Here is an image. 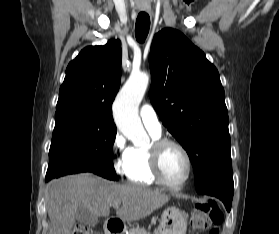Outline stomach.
Segmentation results:
<instances>
[{
    "label": "stomach",
    "instance_id": "1",
    "mask_svg": "<svg viewBox=\"0 0 279 234\" xmlns=\"http://www.w3.org/2000/svg\"><path fill=\"white\" fill-rule=\"evenodd\" d=\"M188 214L176 208L169 207L162 215L159 223L160 234H186Z\"/></svg>",
    "mask_w": 279,
    "mask_h": 234
}]
</instances>
